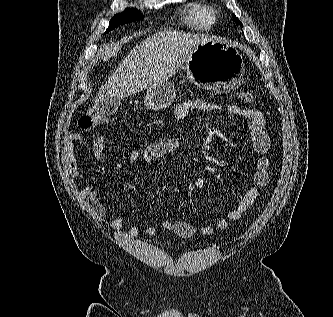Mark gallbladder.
I'll list each match as a JSON object with an SVG mask.
<instances>
[{
	"mask_svg": "<svg viewBox=\"0 0 333 317\" xmlns=\"http://www.w3.org/2000/svg\"><path fill=\"white\" fill-rule=\"evenodd\" d=\"M121 100L113 97L111 99L102 101L96 107V113L100 116L107 117L113 115L119 108Z\"/></svg>",
	"mask_w": 333,
	"mask_h": 317,
	"instance_id": "1",
	"label": "gallbladder"
}]
</instances>
